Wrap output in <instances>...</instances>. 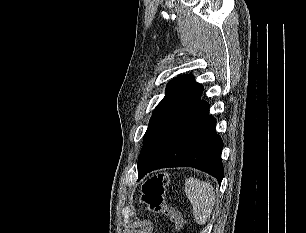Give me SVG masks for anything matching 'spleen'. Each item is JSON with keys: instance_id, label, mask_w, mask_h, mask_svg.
<instances>
[{"instance_id": "spleen-1", "label": "spleen", "mask_w": 306, "mask_h": 233, "mask_svg": "<svg viewBox=\"0 0 306 233\" xmlns=\"http://www.w3.org/2000/svg\"><path fill=\"white\" fill-rule=\"evenodd\" d=\"M185 193L193 206L196 223L206 224L215 204L213 186L209 182L190 177L185 181Z\"/></svg>"}]
</instances>
